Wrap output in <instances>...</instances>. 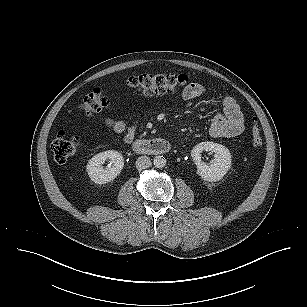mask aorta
I'll list each match as a JSON object with an SVG mask.
<instances>
[{
  "instance_id": "762f6f07",
  "label": "aorta",
  "mask_w": 307,
  "mask_h": 307,
  "mask_svg": "<svg viewBox=\"0 0 307 307\" xmlns=\"http://www.w3.org/2000/svg\"><path fill=\"white\" fill-rule=\"evenodd\" d=\"M153 164L157 168H163L166 165V158L164 156H156L153 159Z\"/></svg>"
}]
</instances>
